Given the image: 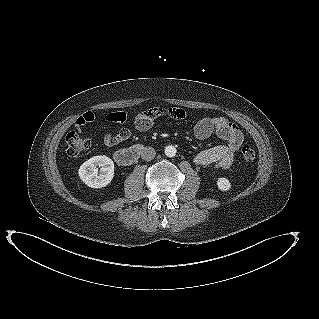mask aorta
<instances>
[{"label":"aorta","mask_w":319,"mask_h":319,"mask_svg":"<svg viewBox=\"0 0 319 319\" xmlns=\"http://www.w3.org/2000/svg\"><path fill=\"white\" fill-rule=\"evenodd\" d=\"M176 152L177 150L174 146L169 145L165 148V155L167 157H174L176 155Z\"/></svg>","instance_id":"obj_1"}]
</instances>
